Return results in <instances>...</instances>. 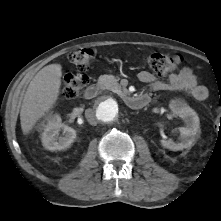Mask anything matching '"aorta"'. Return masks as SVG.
<instances>
[{"instance_id":"1","label":"aorta","mask_w":221,"mask_h":221,"mask_svg":"<svg viewBox=\"0 0 221 221\" xmlns=\"http://www.w3.org/2000/svg\"><path fill=\"white\" fill-rule=\"evenodd\" d=\"M122 111L121 103L110 96L103 97L95 107V116L100 123L111 124L115 122Z\"/></svg>"}]
</instances>
